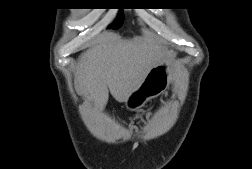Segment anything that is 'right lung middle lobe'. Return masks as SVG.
Masks as SVG:
<instances>
[{
  "label": "right lung middle lobe",
  "instance_id": "obj_1",
  "mask_svg": "<svg viewBox=\"0 0 252 169\" xmlns=\"http://www.w3.org/2000/svg\"><path fill=\"white\" fill-rule=\"evenodd\" d=\"M123 19H124L123 14H122V12H120L115 23L112 24L111 26H109L108 28H113V29L119 28L123 23Z\"/></svg>",
  "mask_w": 252,
  "mask_h": 169
}]
</instances>
